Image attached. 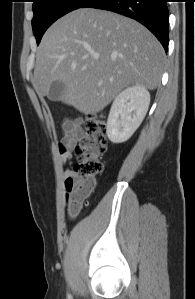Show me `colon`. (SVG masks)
I'll return each mask as SVG.
<instances>
[{
	"label": "colon",
	"mask_w": 195,
	"mask_h": 299,
	"mask_svg": "<svg viewBox=\"0 0 195 299\" xmlns=\"http://www.w3.org/2000/svg\"><path fill=\"white\" fill-rule=\"evenodd\" d=\"M106 123L100 114L91 115L76 145L77 163L74 178L67 191V212L76 216L86 204L96 177L103 171L102 156L107 149Z\"/></svg>",
	"instance_id": "colon-1"
}]
</instances>
